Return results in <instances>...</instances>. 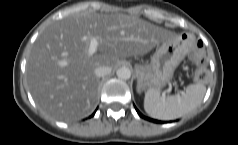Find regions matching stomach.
Masks as SVG:
<instances>
[{"mask_svg":"<svg viewBox=\"0 0 238 145\" xmlns=\"http://www.w3.org/2000/svg\"><path fill=\"white\" fill-rule=\"evenodd\" d=\"M196 43L191 33H180L158 44L149 64H138L137 90L161 89L168 84L181 59L187 58Z\"/></svg>","mask_w":238,"mask_h":145,"instance_id":"1","label":"stomach"}]
</instances>
